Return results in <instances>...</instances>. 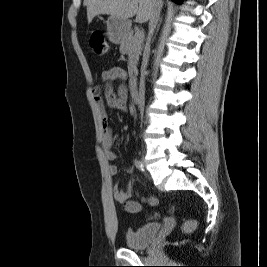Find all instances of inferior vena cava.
Returning a JSON list of instances; mask_svg holds the SVG:
<instances>
[{
  "label": "inferior vena cava",
  "instance_id": "602c4592",
  "mask_svg": "<svg viewBox=\"0 0 267 267\" xmlns=\"http://www.w3.org/2000/svg\"><path fill=\"white\" fill-rule=\"evenodd\" d=\"M161 7H162V1L157 0L156 1V7L153 11V14H152L150 20H149V32H148V37H147L146 46H145L144 55H143V63H142V71H141V79H140V89H139V100H138V104H139V108H140L141 113L144 109L145 73H146L145 69H146V66L148 63V58H149L150 42H151V38L153 36L154 30H155L157 23L159 21V18H160Z\"/></svg>",
  "mask_w": 267,
  "mask_h": 267
}]
</instances>
